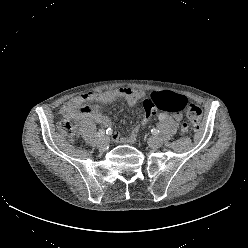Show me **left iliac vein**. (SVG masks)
I'll return each instance as SVG.
<instances>
[{"label": "left iliac vein", "mask_w": 248, "mask_h": 248, "mask_svg": "<svg viewBox=\"0 0 248 248\" xmlns=\"http://www.w3.org/2000/svg\"><path fill=\"white\" fill-rule=\"evenodd\" d=\"M148 144L152 148H160L163 145V139L158 136H153L149 138Z\"/></svg>", "instance_id": "4c4485c4"}]
</instances>
